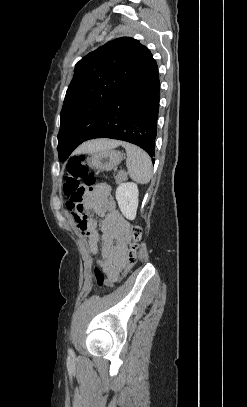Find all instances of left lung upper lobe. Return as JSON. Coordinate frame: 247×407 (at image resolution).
<instances>
[{
  "label": "left lung upper lobe",
  "mask_w": 247,
  "mask_h": 407,
  "mask_svg": "<svg viewBox=\"0 0 247 407\" xmlns=\"http://www.w3.org/2000/svg\"><path fill=\"white\" fill-rule=\"evenodd\" d=\"M138 40L122 37L83 57L74 70L60 114L58 156L64 162L99 122L118 93L152 60Z\"/></svg>",
  "instance_id": "left-lung-upper-lobe-1"
}]
</instances>
